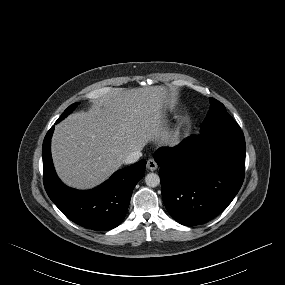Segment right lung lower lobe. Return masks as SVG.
I'll list each match as a JSON object with an SVG mask.
<instances>
[{
	"mask_svg": "<svg viewBox=\"0 0 285 285\" xmlns=\"http://www.w3.org/2000/svg\"><path fill=\"white\" fill-rule=\"evenodd\" d=\"M53 131L54 126L42 147L44 187L49 198L68 219L85 228L102 231L117 227L126 215L135 185L144 176L146 161L115 172L95 189L78 191L65 186L56 175L50 148Z\"/></svg>",
	"mask_w": 285,
	"mask_h": 285,
	"instance_id": "obj_1",
	"label": "right lung lower lobe"
}]
</instances>
